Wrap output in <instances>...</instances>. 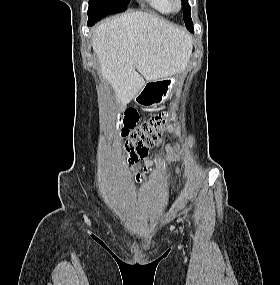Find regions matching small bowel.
I'll list each match as a JSON object with an SVG mask.
<instances>
[{"mask_svg":"<svg viewBox=\"0 0 280 285\" xmlns=\"http://www.w3.org/2000/svg\"><path fill=\"white\" fill-rule=\"evenodd\" d=\"M153 164H154L153 160L146 159L144 161V167H143L142 173L136 174L135 180L140 183L143 181V179L145 177H148L151 173V169H152Z\"/></svg>","mask_w":280,"mask_h":285,"instance_id":"small-bowel-1","label":"small bowel"}]
</instances>
